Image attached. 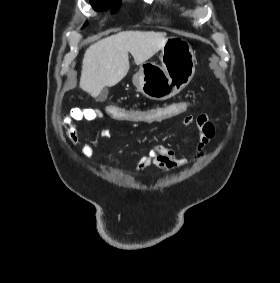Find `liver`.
Returning <instances> with one entry per match:
<instances>
[{
    "instance_id": "obj_1",
    "label": "liver",
    "mask_w": 280,
    "mask_h": 283,
    "mask_svg": "<svg viewBox=\"0 0 280 283\" xmlns=\"http://www.w3.org/2000/svg\"><path fill=\"white\" fill-rule=\"evenodd\" d=\"M165 38L163 32L123 31L92 44L82 61L80 88L98 97L105 87L116 85L126 76L129 53L141 65L161 49Z\"/></svg>"
}]
</instances>
